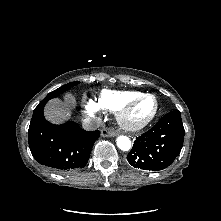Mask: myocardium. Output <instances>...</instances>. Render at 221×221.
I'll list each match as a JSON object with an SVG mask.
<instances>
[{
  "mask_svg": "<svg viewBox=\"0 0 221 221\" xmlns=\"http://www.w3.org/2000/svg\"><path fill=\"white\" fill-rule=\"evenodd\" d=\"M144 98H153L155 101V108L153 113L143 122L140 123H131L128 121V113L131 110V108L140 100L144 99ZM159 112V101L157 99V97L151 93H142L130 100H128L126 103H124L122 105V107L117 111L116 113V118H117V122L120 125V127L122 129H124L125 131L128 132H137V131H141L144 128H146L147 126H149L157 117Z\"/></svg>",
  "mask_w": 221,
  "mask_h": 221,
  "instance_id": "f54148a6",
  "label": "myocardium"
}]
</instances>
